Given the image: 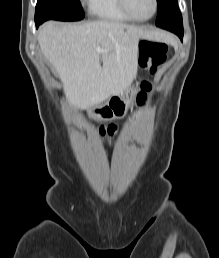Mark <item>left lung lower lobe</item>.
Listing matches in <instances>:
<instances>
[{
  "mask_svg": "<svg viewBox=\"0 0 219 258\" xmlns=\"http://www.w3.org/2000/svg\"><path fill=\"white\" fill-rule=\"evenodd\" d=\"M160 28H163L175 33L176 35L179 36L181 40H183V34H184L183 24H164L160 26Z\"/></svg>",
  "mask_w": 219,
  "mask_h": 258,
  "instance_id": "obj_1",
  "label": "left lung lower lobe"
}]
</instances>
